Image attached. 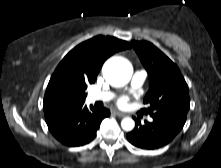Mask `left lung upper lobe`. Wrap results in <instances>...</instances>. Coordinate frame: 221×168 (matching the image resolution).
<instances>
[{
  "mask_svg": "<svg viewBox=\"0 0 221 168\" xmlns=\"http://www.w3.org/2000/svg\"><path fill=\"white\" fill-rule=\"evenodd\" d=\"M131 44L149 76L150 86L143 101L148 107L140 113L184 126L190 98L179 68L153 44L146 41H132Z\"/></svg>",
  "mask_w": 221,
  "mask_h": 168,
  "instance_id": "5c2ea615",
  "label": "left lung upper lobe"
}]
</instances>
